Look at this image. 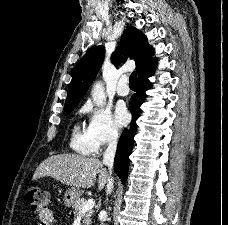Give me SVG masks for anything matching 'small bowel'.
Masks as SVG:
<instances>
[{
  "label": "small bowel",
  "instance_id": "small-bowel-1",
  "mask_svg": "<svg viewBox=\"0 0 228 225\" xmlns=\"http://www.w3.org/2000/svg\"><path fill=\"white\" fill-rule=\"evenodd\" d=\"M39 225H56L54 215L51 210H46L39 215Z\"/></svg>",
  "mask_w": 228,
  "mask_h": 225
}]
</instances>
